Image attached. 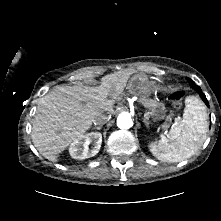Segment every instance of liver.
Masks as SVG:
<instances>
[{
  "mask_svg": "<svg viewBox=\"0 0 221 221\" xmlns=\"http://www.w3.org/2000/svg\"><path fill=\"white\" fill-rule=\"evenodd\" d=\"M128 78V73L119 71L104 76L98 87L56 86L40 98L31 133L39 153L56 162L61 152L90 129L98 114H114L115 99Z\"/></svg>",
  "mask_w": 221,
  "mask_h": 221,
  "instance_id": "6515ba94",
  "label": "liver"
}]
</instances>
